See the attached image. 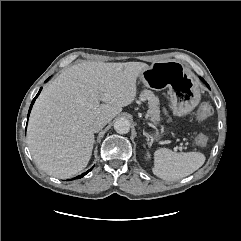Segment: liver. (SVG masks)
I'll return each instance as SVG.
<instances>
[{
    "label": "liver",
    "mask_w": 241,
    "mask_h": 241,
    "mask_svg": "<svg viewBox=\"0 0 241 241\" xmlns=\"http://www.w3.org/2000/svg\"><path fill=\"white\" fill-rule=\"evenodd\" d=\"M148 67L85 62L62 71L43 89L29 118L27 141L39 168L60 179L81 172L95 141L92 123L100 117L110 122L131 104L137 78Z\"/></svg>",
    "instance_id": "1"
}]
</instances>
